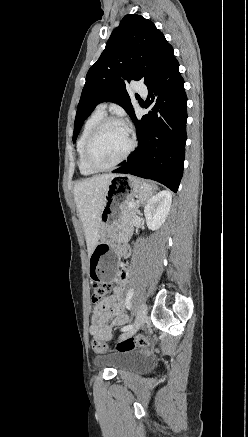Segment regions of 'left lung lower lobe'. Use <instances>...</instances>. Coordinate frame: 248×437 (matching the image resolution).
<instances>
[{
	"label": "left lung lower lobe",
	"instance_id": "left-lung-lower-lobe-1",
	"mask_svg": "<svg viewBox=\"0 0 248 437\" xmlns=\"http://www.w3.org/2000/svg\"><path fill=\"white\" fill-rule=\"evenodd\" d=\"M147 88L150 111L141 120L135 115L132 118L137 150L113 173L152 179L177 192L183 175L187 122V96L178 61L174 59Z\"/></svg>",
	"mask_w": 248,
	"mask_h": 437
}]
</instances>
